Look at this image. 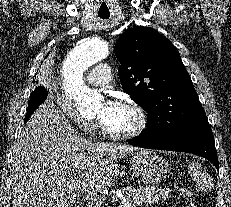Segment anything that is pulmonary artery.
<instances>
[{
  "label": "pulmonary artery",
  "mask_w": 231,
  "mask_h": 207,
  "mask_svg": "<svg viewBox=\"0 0 231 207\" xmlns=\"http://www.w3.org/2000/svg\"><path fill=\"white\" fill-rule=\"evenodd\" d=\"M112 78V72L108 64L100 63L91 69L87 75L90 85L100 87L106 85Z\"/></svg>",
  "instance_id": "obj_1"
}]
</instances>
